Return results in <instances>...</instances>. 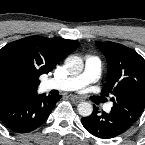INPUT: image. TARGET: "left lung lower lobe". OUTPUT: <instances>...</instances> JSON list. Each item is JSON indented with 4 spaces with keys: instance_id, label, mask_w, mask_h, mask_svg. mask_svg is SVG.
Segmentation results:
<instances>
[{
    "instance_id": "obj_1",
    "label": "left lung lower lobe",
    "mask_w": 145,
    "mask_h": 145,
    "mask_svg": "<svg viewBox=\"0 0 145 145\" xmlns=\"http://www.w3.org/2000/svg\"><path fill=\"white\" fill-rule=\"evenodd\" d=\"M84 128L92 135L110 139L124 133L131 127L125 120L113 112H100L97 107H94L93 113L81 119Z\"/></svg>"
}]
</instances>
